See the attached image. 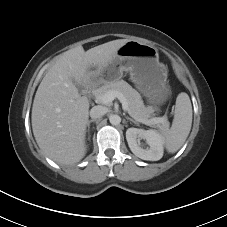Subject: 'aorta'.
<instances>
[{
  "label": "aorta",
  "mask_w": 227,
  "mask_h": 227,
  "mask_svg": "<svg viewBox=\"0 0 227 227\" xmlns=\"http://www.w3.org/2000/svg\"><path fill=\"white\" fill-rule=\"evenodd\" d=\"M109 121L112 125H118L121 122V118L119 115H111Z\"/></svg>",
  "instance_id": "762f6f07"
}]
</instances>
